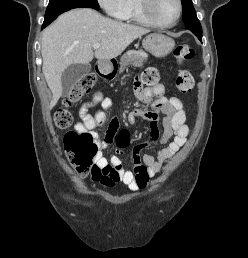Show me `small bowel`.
Masks as SVG:
<instances>
[{
	"mask_svg": "<svg viewBox=\"0 0 248 258\" xmlns=\"http://www.w3.org/2000/svg\"><path fill=\"white\" fill-rule=\"evenodd\" d=\"M136 95L145 104H150L153 97L156 100L153 103V111L133 110L129 113V121L134 122L136 118L142 117L150 121L151 139L150 142H160L166 144L154 157L150 154H142L148 143L138 144L132 152V160L134 163L133 170L124 169L122 161L117 156H112L109 160L102 156L101 152L97 153L95 163L103 168L115 170L118 176H99V181L103 184L112 186L116 182H122L132 191L143 190L147 187L149 179L161 171L162 165L168 161L181 147L184 146L189 133L186 124V113L183 103L178 97L167 98L164 95V87L157 85L154 87L137 86ZM99 103L102 110L96 111L93 115L89 113V109ZM112 106V100L104 97L100 92L96 93L91 102L85 103L79 110L80 121L75 124L74 130L78 132L87 131L94 138L99 149L105 148L110 144L118 131L119 120L114 117L110 120L105 138L101 140L95 129L106 123L107 115L105 110ZM164 115L162 124L163 132L161 136L158 134V113Z\"/></svg>",
	"mask_w": 248,
	"mask_h": 258,
	"instance_id": "c3829d8e",
	"label": "small bowel"
}]
</instances>
